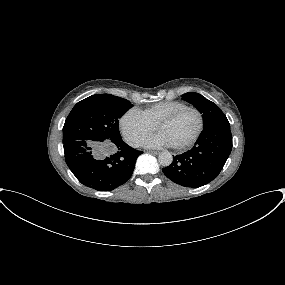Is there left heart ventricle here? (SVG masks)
Masks as SVG:
<instances>
[{
    "label": "left heart ventricle",
    "mask_w": 285,
    "mask_h": 285,
    "mask_svg": "<svg viewBox=\"0 0 285 285\" xmlns=\"http://www.w3.org/2000/svg\"><path fill=\"white\" fill-rule=\"evenodd\" d=\"M199 125L198 116L193 110L181 112L171 123L159 128L171 146H178L193 136Z\"/></svg>",
    "instance_id": "1"
}]
</instances>
